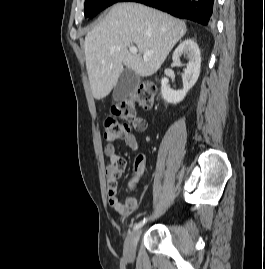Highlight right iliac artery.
Wrapping results in <instances>:
<instances>
[{
  "label": "right iliac artery",
  "mask_w": 265,
  "mask_h": 269,
  "mask_svg": "<svg viewBox=\"0 0 265 269\" xmlns=\"http://www.w3.org/2000/svg\"><path fill=\"white\" fill-rule=\"evenodd\" d=\"M146 221H147V219L144 218L142 221H140L139 223L135 224L133 229L134 230H137V229L141 228L145 224Z\"/></svg>",
  "instance_id": "right-iliac-artery-1"
}]
</instances>
